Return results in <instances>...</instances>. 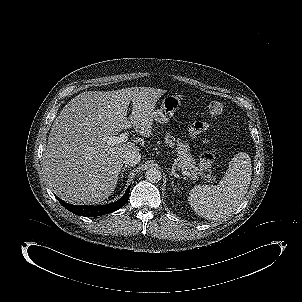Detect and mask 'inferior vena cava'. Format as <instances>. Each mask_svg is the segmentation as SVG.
<instances>
[{"mask_svg": "<svg viewBox=\"0 0 302 302\" xmlns=\"http://www.w3.org/2000/svg\"><path fill=\"white\" fill-rule=\"evenodd\" d=\"M141 160V154L138 151H129L124 155V163L129 166L138 164Z\"/></svg>", "mask_w": 302, "mask_h": 302, "instance_id": "602c4592", "label": "inferior vena cava"}]
</instances>
